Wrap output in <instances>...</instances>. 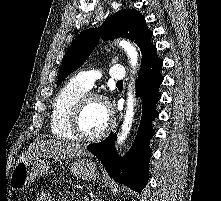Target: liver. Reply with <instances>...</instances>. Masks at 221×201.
I'll list each match as a JSON object with an SVG mask.
<instances>
[{
	"instance_id": "liver-1",
	"label": "liver",
	"mask_w": 221,
	"mask_h": 201,
	"mask_svg": "<svg viewBox=\"0 0 221 201\" xmlns=\"http://www.w3.org/2000/svg\"><path fill=\"white\" fill-rule=\"evenodd\" d=\"M89 153L80 144L63 142L61 140H43L30 146L22 155L21 160L31 157H49L56 159H67L71 157L86 156Z\"/></svg>"
}]
</instances>
